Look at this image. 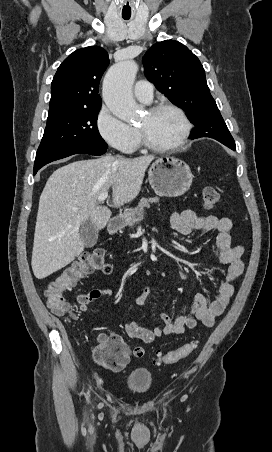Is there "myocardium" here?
I'll use <instances>...</instances> for the list:
<instances>
[{"instance_id": "myocardium-1", "label": "myocardium", "mask_w": 272, "mask_h": 452, "mask_svg": "<svg viewBox=\"0 0 272 452\" xmlns=\"http://www.w3.org/2000/svg\"><path fill=\"white\" fill-rule=\"evenodd\" d=\"M163 110H168V111L174 112L181 120L182 130H181V133H180L179 137L177 138V140L168 145H157V144L152 143L147 138V136L142 128L137 127L139 140L143 146H145L146 148H148L152 151H156V152L175 151L186 143V141L190 135V132H191V123H190V120L187 117L186 113L180 107H178L174 104H170V103H161V104L154 105L148 110V113L155 114V113L163 111Z\"/></svg>"}]
</instances>
